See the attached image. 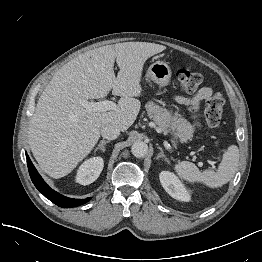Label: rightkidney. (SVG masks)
<instances>
[{"mask_svg":"<svg viewBox=\"0 0 262 262\" xmlns=\"http://www.w3.org/2000/svg\"><path fill=\"white\" fill-rule=\"evenodd\" d=\"M104 162L101 157H93L86 160L78 169L76 182L81 185H89L94 182L103 170Z\"/></svg>","mask_w":262,"mask_h":262,"instance_id":"obj_1","label":"right kidney"}]
</instances>
